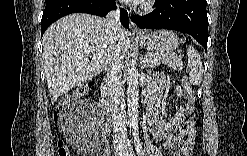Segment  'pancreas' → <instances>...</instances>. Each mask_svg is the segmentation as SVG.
I'll return each instance as SVG.
<instances>
[{"label":"pancreas","mask_w":247,"mask_h":156,"mask_svg":"<svg viewBox=\"0 0 247 156\" xmlns=\"http://www.w3.org/2000/svg\"><path fill=\"white\" fill-rule=\"evenodd\" d=\"M145 58H148L147 66L149 67H155L160 64H166L173 69L178 67L177 61L171 54L147 53Z\"/></svg>","instance_id":"pancreas-1"}]
</instances>
